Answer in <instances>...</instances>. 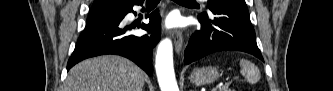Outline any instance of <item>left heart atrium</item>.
Wrapping results in <instances>:
<instances>
[{
  "instance_id": "left-heart-atrium-1",
  "label": "left heart atrium",
  "mask_w": 333,
  "mask_h": 91,
  "mask_svg": "<svg viewBox=\"0 0 333 91\" xmlns=\"http://www.w3.org/2000/svg\"><path fill=\"white\" fill-rule=\"evenodd\" d=\"M178 24H179V21L175 17H170L166 22V26L168 28L176 27Z\"/></svg>"
}]
</instances>
